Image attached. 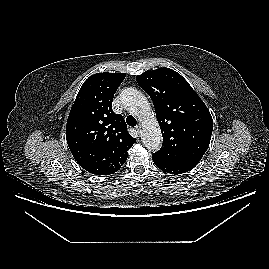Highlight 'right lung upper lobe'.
<instances>
[{"label":"right lung upper lobe","mask_w":269,"mask_h":269,"mask_svg":"<svg viewBox=\"0 0 269 269\" xmlns=\"http://www.w3.org/2000/svg\"><path fill=\"white\" fill-rule=\"evenodd\" d=\"M124 73H97L80 88L66 125V139L77 163L96 175L117 172L136 142L122 115L112 110Z\"/></svg>","instance_id":"right-lung-upper-lobe-1"}]
</instances>
